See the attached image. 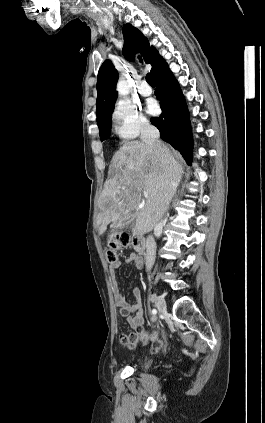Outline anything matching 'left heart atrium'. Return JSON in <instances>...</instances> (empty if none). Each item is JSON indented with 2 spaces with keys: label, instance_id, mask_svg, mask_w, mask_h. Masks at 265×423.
I'll list each match as a JSON object with an SVG mask.
<instances>
[{
  "label": "left heart atrium",
  "instance_id": "1",
  "mask_svg": "<svg viewBox=\"0 0 265 423\" xmlns=\"http://www.w3.org/2000/svg\"><path fill=\"white\" fill-rule=\"evenodd\" d=\"M147 111L152 115L157 114L158 111H159V107H158L157 103L153 100L149 101L148 104H147Z\"/></svg>",
  "mask_w": 265,
  "mask_h": 423
}]
</instances>
